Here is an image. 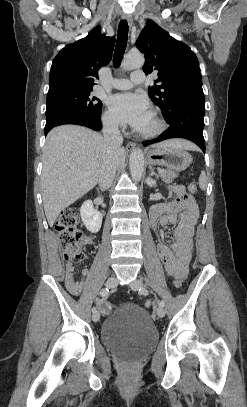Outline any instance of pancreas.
<instances>
[{
  "instance_id": "obj_1",
  "label": "pancreas",
  "mask_w": 247,
  "mask_h": 407,
  "mask_svg": "<svg viewBox=\"0 0 247 407\" xmlns=\"http://www.w3.org/2000/svg\"><path fill=\"white\" fill-rule=\"evenodd\" d=\"M159 176L163 182L170 183L178 176V174L172 170H163L162 173H159Z\"/></svg>"
}]
</instances>
